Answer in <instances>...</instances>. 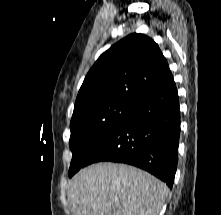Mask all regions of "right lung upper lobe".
Instances as JSON below:
<instances>
[{"label": "right lung upper lobe", "mask_w": 221, "mask_h": 215, "mask_svg": "<svg viewBox=\"0 0 221 215\" xmlns=\"http://www.w3.org/2000/svg\"><path fill=\"white\" fill-rule=\"evenodd\" d=\"M172 81L168 63L154 40L144 34H130L98 58L74 107L107 100L135 103Z\"/></svg>", "instance_id": "1"}]
</instances>
